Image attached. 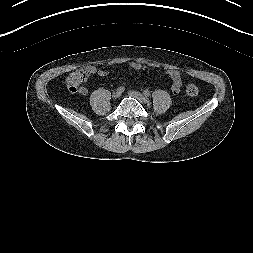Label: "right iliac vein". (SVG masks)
<instances>
[{
	"mask_svg": "<svg viewBox=\"0 0 253 253\" xmlns=\"http://www.w3.org/2000/svg\"><path fill=\"white\" fill-rule=\"evenodd\" d=\"M119 97H120V93H117V92H116V93L113 94V98H114V99H117V98H119Z\"/></svg>",
	"mask_w": 253,
	"mask_h": 253,
	"instance_id": "1",
	"label": "right iliac vein"
}]
</instances>
